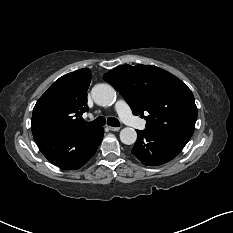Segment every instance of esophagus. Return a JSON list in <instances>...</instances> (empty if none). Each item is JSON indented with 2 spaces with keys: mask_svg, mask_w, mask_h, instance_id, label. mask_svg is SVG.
Listing matches in <instances>:
<instances>
[{
  "mask_svg": "<svg viewBox=\"0 0 233 233\" xmlns=\"http://www.w3.org/2000/svg\"><path fill=\"white\" fill-rule=\"evenodd\" d=\"M107 128H108L110 131H114V132L120 130V127L107 126Z\"/></svg>",
  "mask_w": 233,
  "mask_h": 233,
  "instance_id": "34e87169",
  "label": "esophagus"
}]
</instances>
